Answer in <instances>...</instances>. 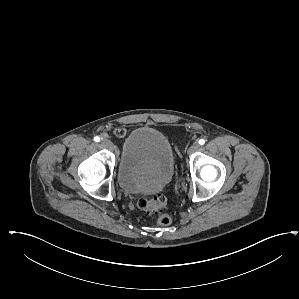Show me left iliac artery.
<instances>
[{"label":"left iliac artery","instance_id":"obj_1","mask_svg":"<svg viewBox=\"0 0 299 299\" xmlns=\"http://www.w3.org/2000/svg\"><path fill=\"white\" fill-rule=\"evenodd\" d=\"M200 145H204L205 144V140L204 139H200L198 142Z\"/></svg>","mask_w":299,"mask_h":299}]
</instances>
